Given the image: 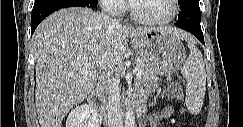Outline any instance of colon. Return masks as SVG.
<instances>
[{
    "instance_id": "obj_1",
    "label": "colon",
    "mask_w": 243,
    "mask_h": 127,
    "mask_svg": "<svg viewBox=\"0 0 243 127\" xmlns=\"http://www.w3.org/2000/svg\"><path fill=\"white\" fill-rule=\"evenodd\" d=\"M167 96L172 100H182L183 99V91L181 85L177 81H172L167 88ZM175 120L172 119V123Z\"/></svg>"
}]
</instances>
